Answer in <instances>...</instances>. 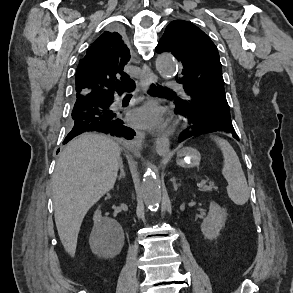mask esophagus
I'll return each mask as SVG.
<instances>
[{"instance_id":"esophagus-1","label":"esophagus","mask_w":293,"mask_h":293,"mask_svg":"<svg viewBox=\"0 0 293 293\" xmlns=\"http://www.w3.org/2000/svg\"><path fill=\"white\" fill-rule=\"evenodd\" d=\"M157 82V76L152 72L150 67L146 64L142 66V73L140 76V86L146 91L149 88L151 83ZM136 138L139 141H143L145 139V133L141 131H137ZM156 152L159 155L165 156L169 153V140L165 136H157L156 138Z\"/></svg>"}]
</instances>
